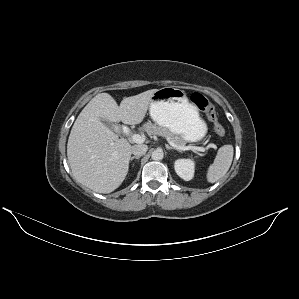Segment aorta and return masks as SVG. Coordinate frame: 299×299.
<instances>
[{"label":"aorta","instance_id":"1","mask_svg":"<svg viewBox=\"0 0 299 299\" xmlns=\"http://www.w3.org/2000/svg\"><path fill=\"white\" fill-rule=\"evenodd\" d=\"M164 157L163 150L161 149H156L152 152L151 158L155 161L162 160Z\"/></svg>","mask_w":299,"mask_h":299}]
</instances>
